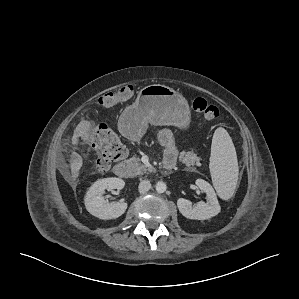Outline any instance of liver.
Wrapping results in <instances>:
<instances>
[{"instance_id": "6515ba94", "label": "liver", "mask_w": 299, "mask_h": 299, "mask_svg": "<svg viewBox=\"0 0 299 299\" xmlns=\"http://www.w3.org/2000/svg\"><path fill=\"white\" fill-rule=\"evenodd\" d=\"M92 124L90 121L85 120L80 123L79 127L77 128V135H80L83 139V141L87 140L89 137V133L91 131ZM83 161L79 154L76 152H73L71 155L70 160V168H71V174L72 179L76 180L79 176V170L82 167Z\"/></svg>"}]
</instances>
